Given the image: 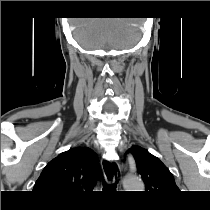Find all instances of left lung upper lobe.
<instances>
[{
  "mask_svg": "<svg viewBox=\"0 0 210 210\" xmlns=\"http://www.w3.org/2000/svg\"><path fill=\"white\" fill-rule=\"evenodd\" d=\"M128 152L135 159L138 173L145 183L147 192L172 194L179 190L173 175L159 158L139 146H132Z\"/></svg>",
  "mask_w": 210,
  "mask_h": 210,
  "instance_id": "1",
  "label": "left lung upper lobe"
}]
</instances>
